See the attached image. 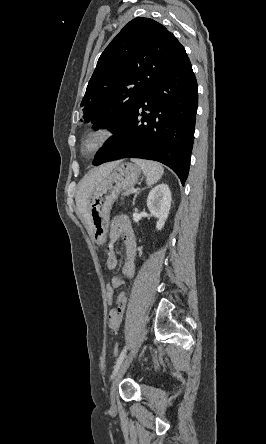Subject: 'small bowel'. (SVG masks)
<instances>
[{
	"label": "small bowel",
	"instance_id": "small-bowel-1",
	"mask_svg": "<svg viewBox=\"0 0 266 444\" xmlns=\"http://www.w3.org/2000/svg\"><path fill=\"white\" fill-rule=\"evenodd\" d=\"M120 237H122L125 246L122 274L127 278H132L135 271L136 244L129 219L124 215L114 217L110 227L109 239L106 246V267L111 272H115L118 267V258L114 251V244ZM112 283L115 288H119L123 286L124 281L120 277L114 276L112 277ZM127 300V293L121 292L117 298L116 306L109 311L108 325L109 329L114 334L121 328Z\"/></svg>",
	"mask_w": 266,
	"mask_h": 444
}]
</instances>
